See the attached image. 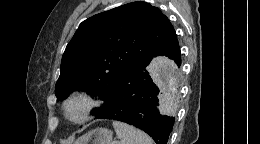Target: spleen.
I'll return each mask as SVG.
<instances>
[{
	"label": "spleen",
	"instance_id": "3e777b00",
	"mask_svg": "<svg viewBox=\"0 0 260 144\" xmlns=\"http://www.w3.org/2000/svg\"><path fill=\"white\" fill-rule=\"evenodd\" d=\"M113 127L119 139L118 144H153L146 133L126 123L113 121Z\"/></svg>",
	"mask_w": 260,
	"mask_h": 144
}]
</instances>
